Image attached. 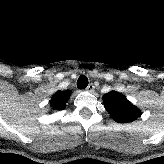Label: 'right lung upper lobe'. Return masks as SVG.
<instances>
[{
  "label": "right lung upper lobe",
  "instance_id": "obj_1",
  "mask_svg": "<svg viewBox=\"0 0 164 164\" xmlns=\"http://www.w3.org/2000/svg\"><path fill=\"white\" fill-rule=\"evenodd\" d=\"M69 97H70L69 90L56 92L50 101L52 109L53 110L65 109V106H66V103H67Z\"/></svg>",
  "mask_w": 164,
  "mask_h": 164
}]
</instances>
